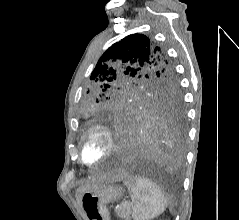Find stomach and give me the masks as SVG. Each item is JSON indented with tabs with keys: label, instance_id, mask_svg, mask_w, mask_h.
I'll return each instance as SVG.
<instances>
[{
	"label": "stomach",
	"instance_id": "1",
	"mask_svg": "<svg viewBox=\"0 0 239 220\" xmlns=\"http://www.w3.org/2000/svg\"><path fill=\"white\" fill-rule=\"evenodd\" d=\"M122 193V188L113 184L84 192L81 195L80 206L86 220H119L121 212H114L118 210V205L106 204L120 199Z\"/></svg>",
	"mask_w": 239,
	"mask_h": 220
}]
</instances>
